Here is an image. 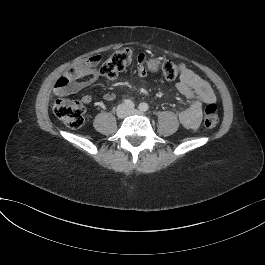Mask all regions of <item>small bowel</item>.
<instances>
[{
	"label": "small bowel",
	"mask_w": 265,
	"mask_h": 265,
	"mask_svg": "<svg viewBox=\"0 0 265 265\" xmlns=\"http://www.w3.org/2000/svg\"><path fill=\"white\" fill-rule=\"evenodd\" d=\"M137 74L140 77H147L149 75V69L146 67L142 57L138 61ZM80 75L86 76L87 78L79 82L73 81L68 87L66 95L78 93L82 89L90 86L98 78L99 71L94 68H89ZM176 88L189 102V107L179 113L181 125L188 129L198 128L202 120L203 104L215 102L216 100L213 89L207 81L189 69L181 74ZM54 93L56 96L58 95L56 88ZM115 98L116 95L113 92H107L103 96L106 102H112ZM81 100L83 103L89 104L92 102V96L85 94Z\"/></svg>",
	"instance_id": "obj_1"
}]
</instances>
